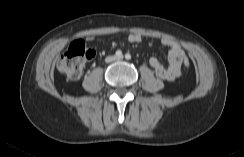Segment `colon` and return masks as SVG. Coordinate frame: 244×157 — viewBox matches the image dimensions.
<instances>
[{
	"instance_id": "5ec220e1",
	"label": "colon",
	"mask_w": 244,
	"mask_h": 157,
	"mask_svg": "<svg viewBox=\"0 0 244 157\" xmlns=\"http://www.w3.org/2000/svg\"><path fill=\"white\" fill-rule=\"evenodd\" d=\"M94 55V51L86 47L83 41L76 40L70 44L68 50L58 59L57 69L67 78L76 80L81 76L85 63L92 59ZM190 64V59L184 57L183 65L189 67Z\"/></svg>"
}]
</instances>
